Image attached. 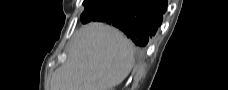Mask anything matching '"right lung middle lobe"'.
I'll return each instance as SVG.
<instances>
[{
	"label": "right lung middle lobe",
	"instance_id": "right-lung-middle-lobe-1",
	"mask_svg": "<svg viewBox=\"0 0 228 90\" xmlns=\"http://www.w3.org/2000/svg\"><path fill=\"white\" fill-rule=\"evenodd\" d=\"M99 0H84L83 5L88 6L90 3H98Z\"/></svg>",
	"mask_w": 228,
	"mask_h": 90
}]
</instances>
